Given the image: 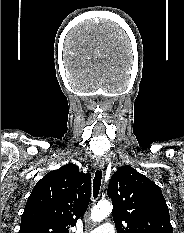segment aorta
I'll return each instance as SVG.
<instances>
[{
  "label": "aorta",
  "mask_w": 184,
  "mask_h": 233,
  "mask_svg": "<svg viewBox=\"0 0 184 233\" xmlns=\"http://www.w3.org/2000/svg\"><path fill=\"white\" fill-rule=\"evenodd\" d=\"M112 212V204L108 201H100L91 211V219L93 222L104 220Z\"/></svg>",
  "instance_id": "aorta-1"
}]
</instances>
